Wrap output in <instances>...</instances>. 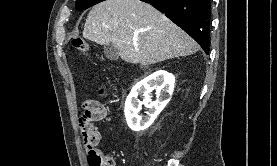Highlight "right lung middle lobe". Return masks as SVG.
<instances>
[{
	"instance_id": "obj_1",
	"label": "right lung middle lobe",
	"mask_w": 277,
	"mask_h": 166,
	"mask_svg": "<svg viewBox=\"0 0 277 166\" xmlns=\"http://www.w3.org/2000/svg\"><path fill=\"white\" fill-rule=\"evenodd\" d=\"M104 0H77L76 1V9L81 11V10H85L89 7H92L100 2H102Z\"/></svg>"
}]
</instances>
